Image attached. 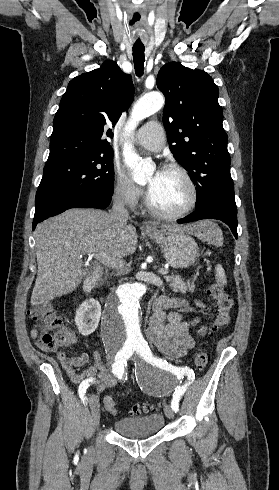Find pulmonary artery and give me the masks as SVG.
Returning <instances> with one entry per match:
<instances>
[{
  "mask_svg": "<svg viewBox=\"0 0 279 490\" xmlns=\"http://www.w3.org/2000/svg\"><path fill=\"white\" fill-rule=\"evenodd\" d=\"M166 125L164 122H149L138 132L137 142L152 151H159L164 146Z\"/></svg>",
  "mask_w": 279,
  "mask_h": 490,
  "instance_id": "1",
  "label": "pulmonary artery"
}]
</instances>
